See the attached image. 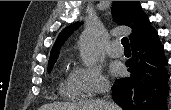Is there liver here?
Listing matches in <instances>:
<instances>
[{
	"label": "liver",
	"instance_id": "6515ba94",
	"mask_svg": "<svg viewBox=\"0 0 171 110\" xmlns=\"http://www.w3.org/2000/svg\"><path fill=\"white\" fill-rule=\"evenodd\" d=\"M103 100H92L84 103H60L54 102L43 105L39 110H105ZM109 110H120L114 102H108Z\"/></svg>",
	"mask_w": 171,
	"mask_h": 110
}]
</instances>
